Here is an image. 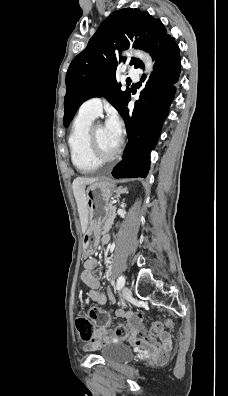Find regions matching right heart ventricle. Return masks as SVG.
<instances>
[{"label":"right heart ventricle","mask_w":228,"mask_h":396,"mask_svg":"<svg viewBox=\"0 0 228 396\" xmlns=\"http://www.w3.org/2000/svg\"><path fill=\"white\" fill-rule=\"evenodd\" d=\"M94 117L79 113L72 125L68 137L71 159L75 167L82 173L96 171L99 164L93 161L88 150L87 135Z\"/></svg>","instance_id":"e07e8e85"}]
</instances>
